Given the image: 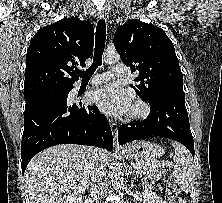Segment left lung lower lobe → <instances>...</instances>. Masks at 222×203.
<instances>
[{
  "instance_id": "1",
  "label": "left lung lower lobe",
  "mask_w": 222,
  "mask_h": 203,
  "mask_svg": "<svg viewBox=\"0 0 222 203\" xmlns=\"http://www.w3.org/2000/svg\"><path fill=\"white\" fill-rule=\"evenodd\" d=\"M149 104L150 114L145 120L119 127V143L123 145L134 140L161 136L180 142L194 156V141L185 107V97L167 94Z\"/></svg>"
}]
</instances>
